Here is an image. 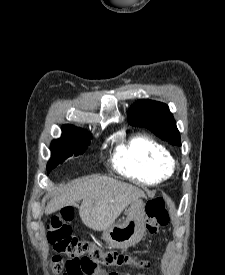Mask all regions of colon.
<instances>
[{
  "mask_svg": "<svg viewBox=\"0 0 225 275\" xmlns=\"http://www.w3.org/2000/svg\"><path fill=\"white\" fill-rule=\"evenodd\" d=\"M146 216V229L152 235H156L160 228L170 221L169 212L162 198H155L147 203ZM72 218L73 211L65 208L54 215L48 225L49 243L58 251L75 257L64 263L59 256H54L51 268L56 275H97L98 264L107 267L138 265L141 268H149L151 266L149 261H137L129 254L105 250L89 240L74 236L69 225ZM109 275L118 274L110 272Z\"/></svg>",
  "mask_w": 225,
  "mask_h": 275,
  "instance_id": "obj_1",
  "label": "colon"
}]
</instances>
